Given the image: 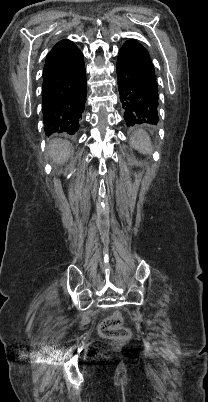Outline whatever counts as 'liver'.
<instances>
[{"instance_id":"liver-1","label":"liver","mask_w":208,"mask_h":402,"mask_svg":"<svg viewBox=\"0 0 208 402\" xmlns=\"http://www.w3.org/2000/svg\"><path fill=\"white\" fill-rule=\"evenodd\" d=\"M50 156L54 164H65L70 156V146L66 140H53L50 146Z\"/></svg>"}]
</instances>
